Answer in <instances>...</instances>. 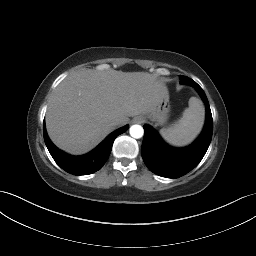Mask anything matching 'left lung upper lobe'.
<instances>
[{
    "instance_id": "left-lung-upper-lobe-1",
    "label": "left lung upper lobe",
    "mask_w": 256,
    "mask_h": 256,
    "mask_svg": "<svg viewBox=\"0 0 256 256\" xmlns=\"http://www.w3.org/2000/svg\"><path fill=\"white\" fill-rule=\"evenodd\" d=\"M187 79H188V77H186V76H183V75L180 76V81H181V83L186 84V83H187V82H186Z\"/></svg>"
}]
</instances>
